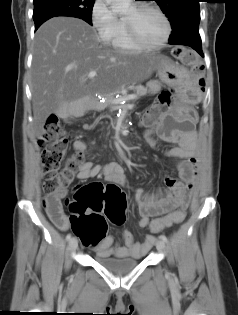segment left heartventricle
Listing matches in <instances>:
<instances>
[{"label":"left heart ventricle","mask_w":238,"mask_h":315,"mask_svg":"<svg viewBox=\"0 0 238 315\" xmlns=\"http://www.w3.org/2000/svg\"><path fill=\"white\" fill-rule=\"evenodd\" d=\"M127 18H134L135 29L138 37L147 44L160 42L166 32L162 18L153 11H144L134 15V7L125 15Z\"/></svg>","instance_id":"1"}]
</instances>
